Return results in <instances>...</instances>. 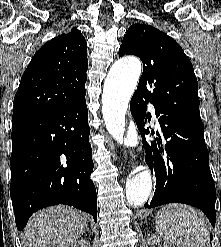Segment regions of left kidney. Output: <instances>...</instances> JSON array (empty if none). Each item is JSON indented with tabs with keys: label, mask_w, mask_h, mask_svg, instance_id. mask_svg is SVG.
<instances>
[{
	"label": "left kidney",
	"mask_w": 221,
	"mask_h": 247,
	"mask_svg": "<svg viewBox=\"0 0 221 247\" xmlns=\"http://www.w3.org/2000/svg\"><path fill=\"white\" fill-rule=\"evenodd\" d=\"M159 242H161V238H159V237H157V236H152L150 239H149V241H148V243H149V245H154V244H157V243H159ZM164 247H172L170 244H165L164 245ZM174 247V246H173Z\"/></svg>",
	"instance_id": "obj_1"
}]
</instances>
